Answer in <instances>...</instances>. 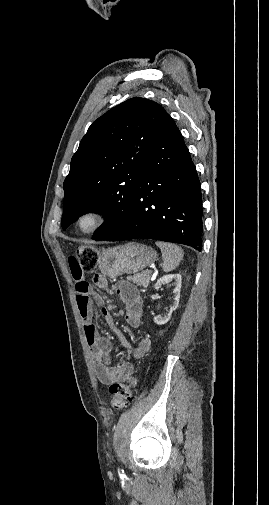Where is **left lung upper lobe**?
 <instances>
[{"mask_svg": "<svg viewBox=\"0 0 269 505\" xmlns=\"http://www.w3.org/2000/svg\"><path fill=\"white\" fill-rule=\"evenodd\" d=\"M166 114L158 103L135 97L92 123L64 181V230L93 209L106 216L95 239L110 235L128 219L145 157Z\"/></svg>", "mask_w": 269, "mask_h": 505, "instance_id": "obj_1", "label": "left lung upper lobe"}]
</instances>
